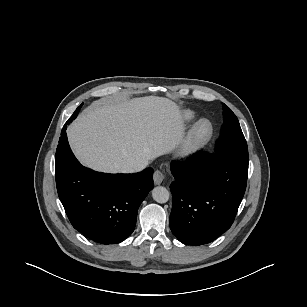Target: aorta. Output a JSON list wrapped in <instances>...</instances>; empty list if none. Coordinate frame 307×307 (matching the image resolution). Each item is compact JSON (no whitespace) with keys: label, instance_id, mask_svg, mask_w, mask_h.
<instances>
[{"label":"aorta","instance_id":"obj_1","mask_svg":"<svg viewBox=\"0 0 307 307\" xmlns=\"http://www.w3.org/2000/svg\"><path fill=\"white\" fill-rule=\"evenodd\" d=\"M152 197L157 203H166L170 198V193L165 187L157 186L152 190Z\"/></svg>","mask_w":307,"mask_h":307}]
</instances>
